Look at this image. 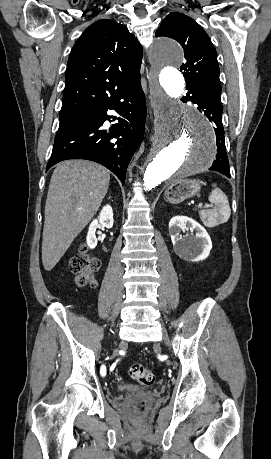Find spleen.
Here are the masks:
<instances>
[{"mask_svg":"<svg viewBox=\"0 0 271 459\" xmlns=\"http://www.w3.org/2000/svg\"><path fill=\"white\" fill-rule=\"evenodd\" d=\"M213 188L214 190H212L209 196V202L215 205L213 210H201L199 212L207 228H214V226H219V224H225L231 216L229 202L225 194L219 188H216V184H213Z\"/></svg>","mask_w":271,"mask_h":459,"instance_id":"1","label":"spleen"}]
</instances>
